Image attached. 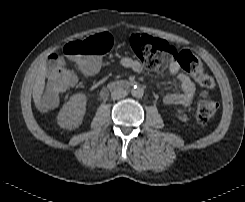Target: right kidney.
I'll use <instances>...</instances> for the list:
<instances>
[{
  "mask_svg": "<svg viewBox=\"0 0 245 202\" xmlns=\"http://www.w3.org/2000/svg\"><path fill=\"white\" fill-rule=\"evenodd\" d=\"M86 111V95L75 94L70 97L58 114V125L64 129L78 128Z\"/></svg>",
  "mask_w": 245,
  "mask_h": 202,
  "instance_id": "obj_1",
  "label": "right kidney"
}]
</instances>
